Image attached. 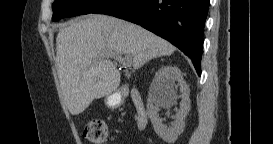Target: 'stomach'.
<instances>
[{"mask_svg": "<svg viewBox=\"0 0 273 144\" xmlns=\"http://www.w3.org/2000/svg\"><path fill=\"white\" fill-rule=\"evenodd\" d=\"M104 101L107 107H109L110 109H115L122 104L123 97L119 91H114L113 93L106 95Z\"/></svg>", "mask_w": 273, "mask_h": 144, "instance_id": "stomach-1", "label": "stomach"}]
</instances>
